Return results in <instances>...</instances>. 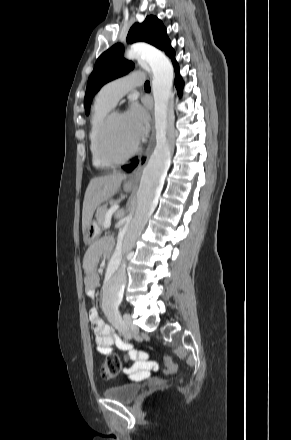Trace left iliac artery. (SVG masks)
<instances>
[{
	"instance_id": "1",
	"label": "left iliac artery",
	"mask_w": 291,
	"mask_h": 440,
	"mask_svg": "<svg viewBox=\"0 0 291 440\" xmlns=\"http://www.w3.org/2000/svg\"><path fill=\"white\" fill-rule=\"evenodd\" d=\"M114 323L117 326H120V327L123 326L122 321H121V316H120L118 310H117V314L115 315V318H114Z\"/></svg>"
}]
</instances>
